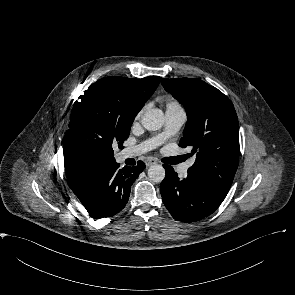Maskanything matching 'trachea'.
Returning a JSON list of instances; mask_svg holds the SVG:
<instances>
[{
	"mask_svg": "<svg viewBox=\"0 0 295 295\" xmlns=\"http://www.w3.org/2000/svg\"><path fill=\"white\" fill-rule=\"evenodd\" d=\"M181 162L180 158H172L170 161H168L169 164H176Z\"/></svg>",
	"mask_w": 295,
	"mask_h": 295,
	"instance_id": "trachea-1",
	"label": "trachea"
}]
</instances>
